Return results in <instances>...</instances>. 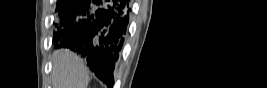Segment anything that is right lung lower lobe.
Returning a JSON list of instances; mask_svg holds the SVG:
<instances>
[{
	"label": "right lung lower lobe",
	"mask_w": 267,
	"mask_h": 88,
	"mask_svg": "<svg viewBox=\"0 0 267 88\" xmlns=\"http://www.w3.org/2000/svg\"><path fill=\"white\" fill-rule=\"evenodd\" d=\"M130 11L129 0H69L59 12L54 38L59 47L80 53L96 76L112 85Z\"/></svg>",
	"instance_id": "1"
}]
</instances>
